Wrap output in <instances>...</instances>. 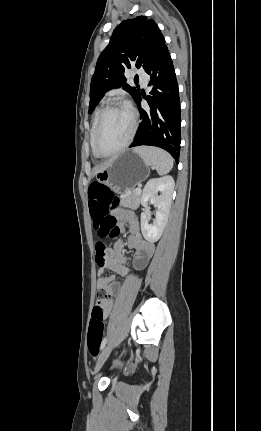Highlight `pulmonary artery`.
Wrapping results in <instances>:
<instances>
[{"mask_svg": "<svg viewBox=\"0 0 261 431\" xmlns=\"http://www.w3.org/2000/svg\"><path fill=\"white\" fill-rule=\"evenodd\" d=\"M135 74L138 76V78L140 79L141 83L146 86L148 83V75L142 71V70H138L135 72Z\"/></svg>", "mask_w": 261, "mask_h": 431, "instance_id": "pulmonary-artery-1", "label": "pulmonary artery"}]
</instances>
